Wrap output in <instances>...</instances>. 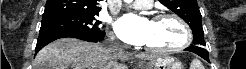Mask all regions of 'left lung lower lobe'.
<instances>
[{
	"label": "left lung lower lobe",
	"instance_id": "1",
	"mask_svg": "<svg viewBox=\"0 0 246 69\" xmlns=\"http://www.w3.org/2000/svg\"><path fill=\"white\" fill-rule=\"evenodd\" d=\"M185 50L193 52V53L199 55L200 57H202L203 59H205L206 61H209V54H208L207 50L204 49L203 47L193 45V46L186 48Z\"/></svg>",
	"mask_w": 246,
	"mask_h": 69
}]
</instances>
